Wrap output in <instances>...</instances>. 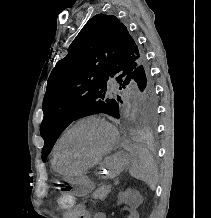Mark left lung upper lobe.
<instances>
[{"instance_id":"obj_1","label":"left lung upper lobe","mask_w":211,"mask_h":218,"mask_svg":"<svg viewBox=\"0 0 211 218\" xmlns=\"http://www.w3.org/2000/svg\"><path fill=\"white\" fill-rule=\"evenodd\" d=\"M68 52L52 70L43 100L40 133L45 141L44 162L72 121L99 112L120 117L121 98H104L110 77L123 88L131 79L137 83L141 91L139 116L147 129L154 130L157 107L146 56L117 17L106 14L92 17Z\"/></svg>"}]
</instances>
